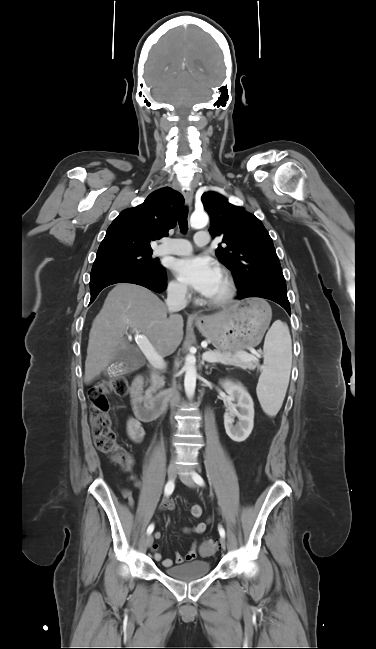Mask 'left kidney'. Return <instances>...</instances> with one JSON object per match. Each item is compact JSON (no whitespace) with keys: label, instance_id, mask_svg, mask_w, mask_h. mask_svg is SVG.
I'll return each mask as SVG.
<instances>
[{"label":"left kidney","instance_id":"left-kidney-1","mask_svg":"<svg viewBox=\"0 0 376 649\" xmlns=\"http://www.w3.org/2000/svg\"><path fill=\"white\" fill-rule=\"evenodd\" d=\"M222 388L227 392L232 402L230 408L224 414V426L227 435L236 442H242L251 434L254 426V403L243 385L231 380L220 382ZM238 417L239 422L234 423Z\"/></svg>","mask_w":376,"mask_h":649}]
</instances>
